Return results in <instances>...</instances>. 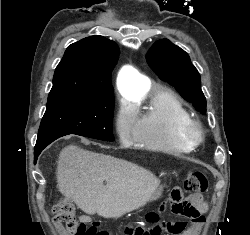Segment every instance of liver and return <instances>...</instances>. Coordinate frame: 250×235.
I'll use <instances>...</instances> for the list:
<instances>
[{
  "instance_id": "1",
  "label": "liver",
  "mask_w": 250,
  "mask_h": 235,
  "mask_svg": "<svg viewBox=\"0 0 250 235\" xmlns=\"http://www.w3.org/2000/svg\"><path fill=\"white\" fill-rule=\"evenodd\" d=\"M56 177L60 192L78 208L104 218H119L144 206L160 184L145 168L74 145L60 152Z\"/></svg>"
}]
</instances>
